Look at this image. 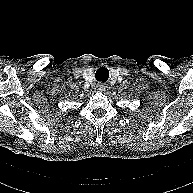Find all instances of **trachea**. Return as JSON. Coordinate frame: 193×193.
<instances>
[{
	"label": "trachea",
	"instance_id": "1",
	"mask_svg": "<svg viewBox=\"0 0 193 193\" xmlns=\"http://www.w3.org/2000/svg\"><path fill=\"white\" fill-rule=\"evenodd\" d=\"M109 77V71L105 67H100L95 74V78L97 81L106 82Z\"/></svg>",
	"mask_w": 193,
	"mask_h": 193
}]
</instances>
